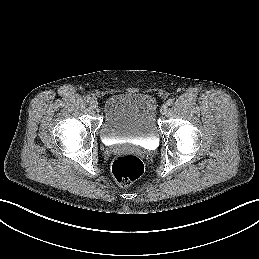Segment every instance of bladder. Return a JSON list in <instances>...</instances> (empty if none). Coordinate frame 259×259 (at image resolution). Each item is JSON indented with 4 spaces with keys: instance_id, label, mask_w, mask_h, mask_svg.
<instances>
[{
    "instance_id": "31cf9c89",
    "label": "bladder",
    "mask_w": 259,
    "mask_h": 259,
    "mask_svg": "<svg viewBox=\"0 0 259 259\" xmlns=\"http://www.w3.org/2000/svg\"><path fill=\"white\" fill-rule=\"evenodd\" d=\"M157 104L145 93L110 95L103 104L99 129L103 141L131 140L139 143L158 138Z\"/></svg>"
}]
</instances>
